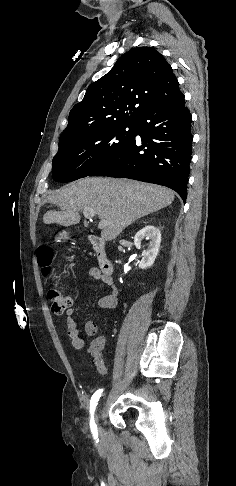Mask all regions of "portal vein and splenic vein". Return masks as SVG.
Here are the masks:
<instances>
[{
	"label": "portal vein and splenic vein",
	"mask_w": 236,
	"mask_h": 486,
	"mask_svg": "<svg viewBox=\"0 0 236 486\" xmlns=\"http://www.w3.org/2000/svg\"><path fill=\"white\" fill-rule=\"evenodd\" d=\"M83 214H84V217H85V218H87V219H92V218H94V217L96 216L95 211H94V210H92V209H86V210H84V211H83ZM105 225H106V222L101 221V222L98 224V228H100V229H101V228L105 227Z\"/></svg>",
	"instance_id": "18ae733b"
}]
</instances>
